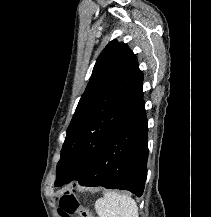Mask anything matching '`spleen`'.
<instances>
[{"label":"spleen","instance_id":"obj_1","mask_svg":"<svg viewBox=\"0 0 211 217\" xmlns=\"http://www.w3.org/2000/svg\"><path fill=\"white\" fill-rule=\"evenodd\" d=\"M99 217H139L138 206L130 196L107 192L95 203Z\"/></svg>","mask_w":211,"mask_h":217}]
</instances>
